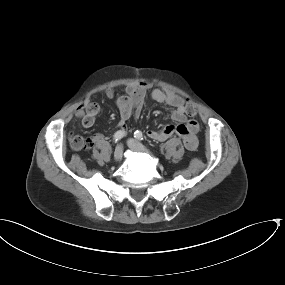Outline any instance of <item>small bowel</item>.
<instances>
[{"mask_svg":"<svg viewBox=\"0 0 285 285\" xmlns=\"http://www.w3.org/2000/svg\"><path fill=\"white\" fill-rule=\"evenodd\" d=\"M148 84L145 82L139 84H129L125 89V94L117 99V107L119 109V131L125 132L127 128V121L132 116H138L142 110L145 96L147 93ZM107 98L114 96V90L108 88L105 91ZM151 98L157 103L166 104L172 107L173 123L162 128L150 129L147 132L149 138L157 141H163L167 138L177 135L181 138L184 147L189 151H194L199 145V123L196 119L187 118V106L183 98L172 92H164L160 89H154L151 92ZM100 112V107L97 103L88 102L79 105L75 111L74 116L81 118L82 124L85 127H91ZM102 136L92 135L88 137L90 148L94 143L100 141ZM72 147L76 149L71 142Z\"/></svg>","mask_w":285,"mask_h":285,"instance_id":"c3829d8e","label":"small bowel"}]
</instances>
